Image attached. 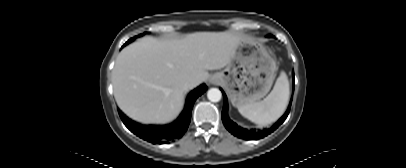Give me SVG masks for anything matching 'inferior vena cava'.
<instances>
[{
    "instance_id": "inferior-vena-cava-1",
    "label": "inferior vena cava",
    "mask_w": 406,
    "mask_h": 168,
    "mask_svg": "<svg viewBox=\"0 0 406 168\" xmlns=\"http://www.w3.org/2000/svg\"><path fill=\"white\" fill-rule=\"evenodd\" d=\"M192 84H193V81H192V80H189V81L185 84V87H186V88H190V87L192 86Z\"/></svg>"
}]
</instances>
